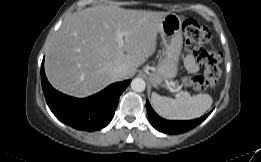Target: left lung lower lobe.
Segmentation results:
<instances>
[{"label": "left lung lower lobe", "mask_w": 261, "mask_h": 162, "mask_svg": "<svg viewBox=\"0 0 261 162\" xmlns=\"http://www.w3.org/2000/svg\"><path fill=\"white\" fill-rule=\"evenodd\" d=\"M146 108L149 116V120L151 125L157 129L160 132H163L165 134H179L186 132L194 127H196L198 124H200L202 121H204L208 115H205L201 118L195 119V120H189V121H169L161 118L158 116L153 109L151 108L149 102H146Z\"/></svg>", "instance_id": "1"}]
</instances>
